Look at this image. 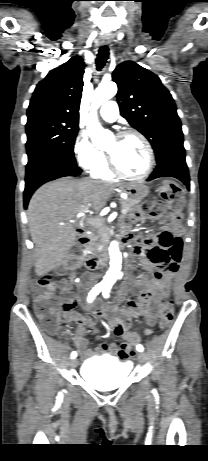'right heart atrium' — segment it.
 <instances>
[{
    "label": "right heart atrium",
    "instance_id": "1",
    "mask_svg": "<svg viewBox=\"0 0 208 461\" xmlns=\"http://www.w3.org/2000/svg\"><path fill=\"white\" fill-rule=\"evenodd\" d=\"M73 151L78 166L85 171L91 170L98 163L101 156V152L94 147L82 132L75 139Z\"/></svg>",
    "mask_w": 208,
    "mask_h": 461
}]
</instances>
